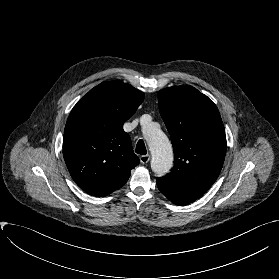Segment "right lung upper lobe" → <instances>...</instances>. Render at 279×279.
I'll list each match as a JSON object with an SVG mask.
<instances>
[{"mask_svg":"<svg viewBox=\"0 0 279 279\" xmlns=\"http://www.w3.org/2000/svg\"><path fill=\"white\" fill-rule=\"evenodd\" d=\"M144 93L119 80L90 90L72 109L64 130L63 156L75 183L104 197L122 187L139 164L123 124Z\"/></svg>","mask_w":279,"mask_h":279,"instance_id":"cb5924a9","label":"right lung upper lobe"}]
</instances>
